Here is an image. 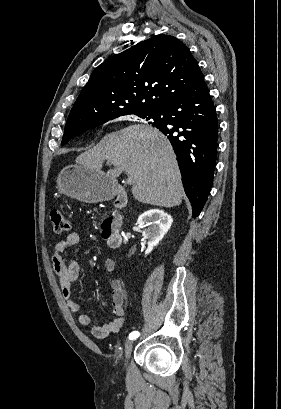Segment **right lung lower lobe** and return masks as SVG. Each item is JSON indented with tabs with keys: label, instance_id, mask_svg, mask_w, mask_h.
Wrapping results in <instances>:
<instances>
[{
	"label": "right lung lower lobe",
	"instance_id": "98d812e1",
	"mask_svg": "<svg viewBox=\"0 0 281 409\" xmlns=\"http://www.w3.org/2000/svg\"><path fill=\"white\" fill-rule=\"evenodd\" d=\"M155 113L153 125L167 135L173 146L195 218L212 186L218 139L215 106L203 74L185 93Z\"/></svg>",
	"mask_w": 281,
	"mask_h": 409
}]
</instances>
